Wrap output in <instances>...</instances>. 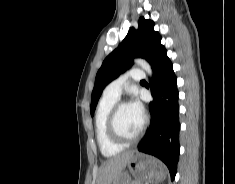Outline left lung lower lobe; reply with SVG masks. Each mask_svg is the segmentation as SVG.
I'll use <instances>...</instances> for the list:
<instances>
[{"mask_svg":"<svg viewBox=\"0 0 235 184\" xmlns=\"http://www.w3.org/2000/svg\"><path fill=\"white\" fill-rule=\"evenodd\" d=\"M150 80L154 101L149 104L151 124L138 145V150L162 160L173 180L179 161L178 90L172 63L163 45H159L151 61Z\"/></svg>","mask_w":235,"mask_h":184,"instance_id":"0a47b994","label":"left lung lower lobe"}]
</instances>
